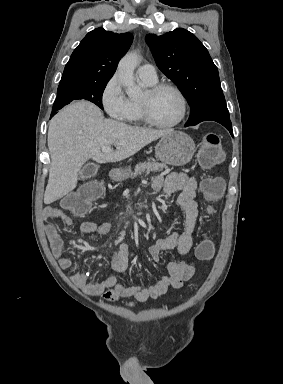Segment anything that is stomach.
Instances as JSON below:
<instances>
[{
    "label": "stomach",
    "mask_w": 283,
    "mask_h": 384,
    "mask_svg": "<svg viewBox=\"0 0 283 384\" xmlns=\"http://www.w3.org/2000/svg\"><path fill=\"white\" fill-rule=\"evenodd\" d=\"M156 158L170 166H185L195 154V144L184 132H171L159 140L155 148ZM119 178H127L130 170L118 172Z\"/></svg>",
    "instance_id": "stomach-1"
}]
</instances>
